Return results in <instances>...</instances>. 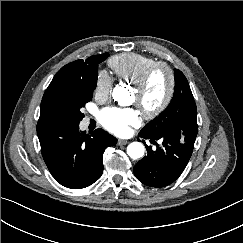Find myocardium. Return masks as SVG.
Masks as SVG:
<instances>
[{
    "mask_svg": "<svg viewBox=\"0 0 243 243\" xmlns=\"http://www.w3.org/2000/svg\"><path fill=\"white\" fill-rule=\"evenodd\" d=\"M157 69H163L165 71L167 75V85L163 95L156 102L150 105H138L146 116L154 115L155 113L162 110L169 103L174 93V71L169 64L163 61H157L152 63L141 73L138 79L132 83L134 91L140 97L143 94L152 73Z\"/></svg>",
    "mask_w": 243,
    "mask_h": 243,
    "instance_id": "f54148a6",
    "label": "myocardium"
}]
</instances>
